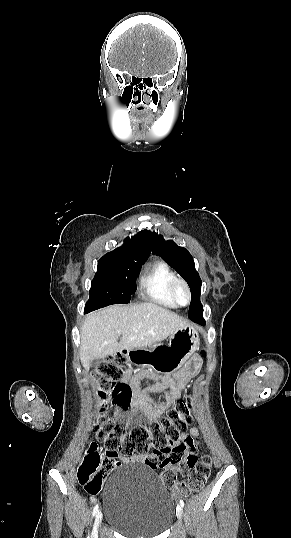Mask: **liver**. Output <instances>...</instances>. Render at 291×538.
<instances>
[{"instance_id": "1", "label": "liver", "mask_w": 291, "mask_h": 538, "mask_svg": "<svg viewBox=\"0 0 291 538\" xmlns=\"http://www.w3.org/2000/svg\"><path fill=\"white\" fill-rule=\"evenodd\" d=\"M188 326L187 320L151 302L112 305L86 316L81 328L80 359L89 368L94 359L146 347Z\"/></svg>"}]
</instances>
